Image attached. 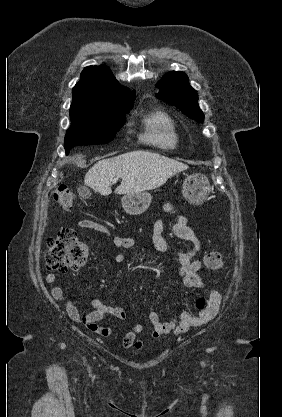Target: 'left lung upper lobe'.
<instances>
[{
  "mask_svg": "<svg viewBox=\"0 0 282 417\" xmlns=\"http://www.w3.org/2000/svg\"><path fill=\"white\" fill-rule=\"evenodd\" d=\"M160 89L157 97L176 105L189 118L203 121L204 115L198 106V94L190 85L183 72L172 71L164 75L156 85Z\"/></svg>",
  "mask_w": 282,
  "mask_h": 417,
  "instance_id": "left-lung-upper-lobe-1",
  "label": "left lung upper lobe"
}]
</instances>
